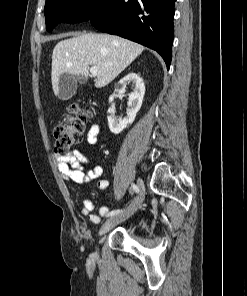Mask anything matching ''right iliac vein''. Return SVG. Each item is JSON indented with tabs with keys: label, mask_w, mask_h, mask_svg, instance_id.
Wrapping results in <instances>:
<instances>
[{
	"label": "right iliac vein",
	"mask_w": 247,
	"mask_h": 296,
	"mask_svg": "<svg viewBox=\"0 0 247 296\" xmlns=\"http://www.w3.org/2000/svg\"><path fill=\"white\" fill-rule=\"evenodd\" d=\"M138 186L140 188V192L137 195V197L134 199V201L130 204V206L126 210L106 220V222L102 225L99 231V235H104L115 225L125 221L137 211V209L139 208V206L144 200V184L141 179L138 180Z\"/></svg>",
	"instance_id": "63e3f726"
}]
</instances>
